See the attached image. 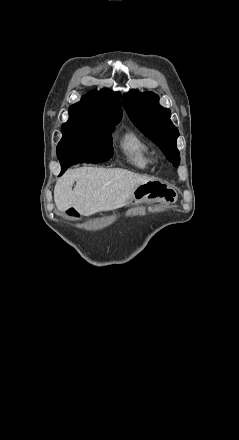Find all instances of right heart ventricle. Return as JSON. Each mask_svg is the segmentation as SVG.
<instances>
[{
    "instance_id": "right-heart-ventricle-1",
    "label": "right heart ventricle",
    "mask_w": 239,
    "mask_h": 440,
    "mask_svg": "<svg viewBox=\"0 0 239 440\" xmlns=\"http://www.w3.org/2000/svg\"><path fill=\"white\" fill-rule=\"evenodd\" d=\"M118 148L132 167L142 171H148L153 167V153L146 141L137 133L123 134L118 140Z\"/></svg>"
}]
</instances>
